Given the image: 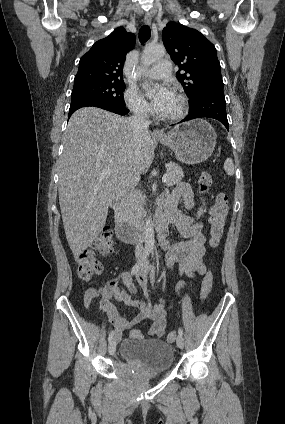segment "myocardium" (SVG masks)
<instances>
[{"label": "myocardium", "instance_id": "myocardium-1", "mask_svg": "<svg viewBox=\"0 0 285 424\" xmlns=\"http://www.w3.org/2000/svg\"><path fill=\"white\" fill-rule=\"evenodd\" d=\"M175 95L178 97V99L181 102L180 111L177 114L172 115V116H161L160 115L159 116L160 120H162L164 122H168V123H175V122L182 120L187 115V113H188V99H187V97L180 92L175 93Z\"/></svg>", "mask_w": 285, "mask_h": 424}]
</instances>
